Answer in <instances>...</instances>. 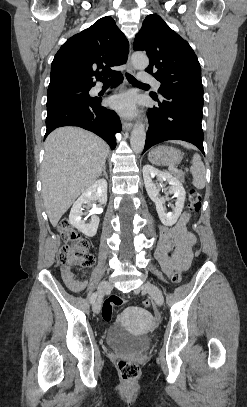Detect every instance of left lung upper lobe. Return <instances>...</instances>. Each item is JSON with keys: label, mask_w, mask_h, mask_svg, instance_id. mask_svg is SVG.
I'll return each instance as SVG.
<instances>
[{"label": "left lung upper lobe", "mask_w": 247, "mask_h": 407, "mask_svg": "<svg viewBox=\"0 0 247 407\" xmlns=\"http://www.w3.org/2000/svg\"><path fill=\"white\" fill-rule=\"evenodd\" d=\"M133 47L136 51H146L150 63L145 70L161 82V95L170 90L203 94L197 56L160 16L151 14L145 18ZM151 96L158 99L156 93Z\"/></svg>", "instance_id": "1"}]
</instances>
